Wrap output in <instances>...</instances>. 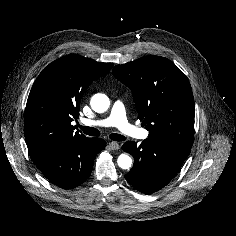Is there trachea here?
I'll use <instances>...</instances> for the list:
<instances>
[{
  "mask_svg": "<svg viewBox=\"0 0 236 236\" xmlns=\"http://www.w3.org/2000/svg\"><path fill=\"white\" fill-rule=\"evenodd\" d=\"M80 129L86 134L90 136H100V131L93 127L80 126ZM109 138L113 141H124L125 136L117 133H112L109 135Z\"/></svg>",
  "mask_w": 236,
  "mask_h": 236,
  "instance_id": "1",
  "label": "trachea"
}]
</instances>
